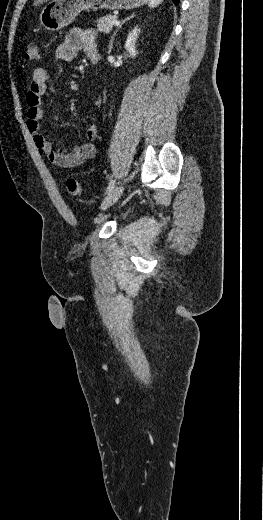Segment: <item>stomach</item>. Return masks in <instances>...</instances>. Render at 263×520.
Here are the masks:
<instances>
[{"instance_id":"1","label":"stomach","mask_w":263,"mask_h":520,"mask_svg":"<svg viewBox=\"0 0 263 520\" xmlns=\"http://www.w3.org/2000/svg\"><path fill=\"white\" fill-rule=\"evenodd\" d=\"M148 0H51L40 14V23L48 31H58L89 9H133Z\"/></svg>"}]
</instances>
